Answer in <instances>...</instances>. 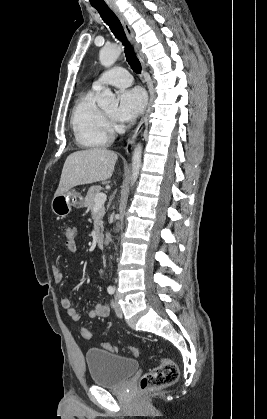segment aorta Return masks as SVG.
<instances>
[{
	"instance_id": "obj_1",
	"label": "aorta",
	"mask_w": 267,
	"mask_h": 419,
	"mask_svg": "<svg viewBox=\"0 0 267 419\" xmlns=\"http://www.w3.org/2000/svg\"><path fill=\"white\" fill-rule=\"evenodd\" d=\"M121 53V48L117 45H111L103 47L99 53L100 63L104 67L112 66L115 61L118 59ZM98 105L101 108H117L118 100L110 89H105L101 97L98 99ZM141 158H142V145L137 144L133 151L132 156V174H131V186L136 182L140 168H141Z\"/></svg>"
}]
</instances>
